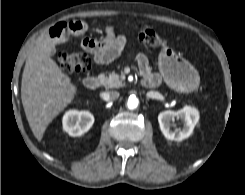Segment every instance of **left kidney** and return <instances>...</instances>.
Returning a JSON list of instances; mask_svg holds the SVG:
<instances>
[{
  "mask_svg": "<svg viewBox=\"0 0 245 195\" xmlns=\"http://www.w3.org/2000/svg\"><path fill=\"white\" fill-rule=\"evenodd\" d=\"M175 117L183 120V128L181 130L173 131L170 129L171 120ZM198 121V111L190 106H185L178 111L167 110L158 115V122L163 135L165 138L172 141H182L183 139L188 138L192 134Z\"/></svg>",
  "mask_w": 245,
  "mask_h": 195,
  "instance_id": "5707ae66",
  "label": "left kidney"
}]
</instances>
